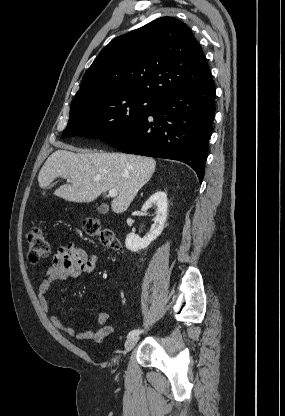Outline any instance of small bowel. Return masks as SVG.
Wrapping results in <instances>:
<instances>
[{"instance_id":"obj_1","label":"small bowel","mask_w":285,"mask_h":416,"mask_svg":"<svg viewBox=\"0 0 285 416\" xmlns=\"http://www.w3.org/2000/svg\"><path fill=\"white\" fill-rule=\"evenodd\" d=\"M97 257L86 248L68 243L58 248L51 266L43 274L37 289V298L42 311L51 324L60 332L77 340H94L102 343L114 331V326L108 323L109 314L100 311L96 322L82 329H76L62 322L50 309L47 292L55 281L76 278L82 274H90L96 265Z\"/></svg>"}]
</instances>
